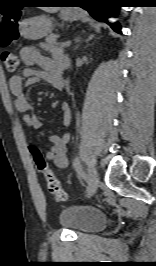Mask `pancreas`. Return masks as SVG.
Segmentation results:
<instances>
[{"label":"pancreas","mask_w":156,"mask_h":266,"mask_svg":"<svg viewBox=\"0 0 156 266\" xmlns=\"http://www.w3.org/2000/svg\"><path fill=\"white\" fill-rule=\"evenodd\" d=\"M58 37L57 34H50L45 39V43H42L41 45L44 46L45 49L53 50L57 46L56 40Z\"/></svg>","instance_id":"cf45deb5"}]
</instances>
